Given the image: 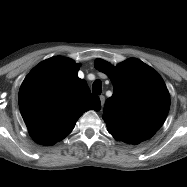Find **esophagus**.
Listing matches in <instances>:
<instances>
[{
	"label": "esophagus",
	"mask_w": 187,
	"mask_h": 187,
	"mask_svg": "<svg viewBox=\"0 0 187 187\" xmlns=\"http://www.w3.org/2000/svg\"><path fill=\"white\" fill-rule=\"evenodd\" d=\"M99 98H100L101 106L103 107L104 103H105V96L104 95H100Z\"/></svg>",
	"instance_id": "esophagus-1"
}]
</instances>
